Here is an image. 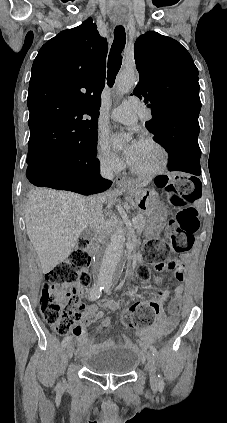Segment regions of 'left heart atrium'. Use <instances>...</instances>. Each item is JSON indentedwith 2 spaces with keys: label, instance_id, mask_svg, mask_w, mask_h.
Instances as JSON below:
<instances>
[{
  "label": "left heart atrium",
  "instance_id": "obj_1",
  "mask_svg": "<svg viewBox=\"0 0 227 423\" xmlns=\"http://www.w3.org/2000/svg\"><path fill=\"white\" fill-rule=\"evenodd\" d=\"M140 143H141L140 141L134 142L132 146L128 149V151L126 152V159L128 162L132 163L135 156L136 149L138 148Z\"/></svg>",
  "mask_w": 227,
  "mask_h": 423
}]
</instances>
